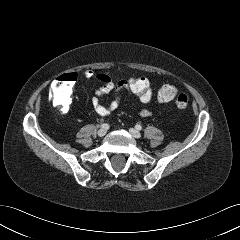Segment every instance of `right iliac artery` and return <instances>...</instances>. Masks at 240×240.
<instances>
[{"mask_svg":"<svg viewBox=\"0 0 240 240\" xmlns=\"http://www.w3.org/2000/svg\"><path fill=\"white\" fill-rule=\"evenodd\" d=\"M101 127H102V128H105V129H108V128H109V125L106 124V123H104V124L101 125Z\"/></svg>","mask_w":240,"mask_h":240,"instance_id":"1","label":"right iliac artery"}]
</instances>
